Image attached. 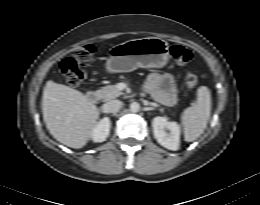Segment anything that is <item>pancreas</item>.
I'll list each match as a JSON object with an SVG mask.
<instances>
[{"instance_id":"cf45deb5","label":"pancreas","mask_w":260,"mask_h":205,"mask_svg":"<svg viewBox=\"0 0 260 205\" xmlns=\"http://www.w3.org/2000/svg\"><path fill=\"white\" fill-rule=\"evenodd\" d=\"M120 95H123V92H121L116 85H108L98 90L99 98L105 102L117 98Z\"/></svg>"}]
</instances>
